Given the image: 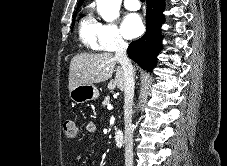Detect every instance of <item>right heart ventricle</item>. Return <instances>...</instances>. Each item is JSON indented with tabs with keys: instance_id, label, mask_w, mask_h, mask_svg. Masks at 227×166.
I'll use <instances>...</instances> for the list:
<instances>
[{
	"instance_id": "e07e8e85",
	"label": "right heart ventricle",
	"mask_w": 227,
	"mask_h": 166,
	"mask_svg": "<svg viewBox=\"0 0 227 166\" xmlns=\"http://www.w3.org/2000/svg\"><path fill=\"white\" fill-rule=\"evenodd\" d=\"M100 23L91 13H86L79 22L78 32L82 44L91 51L102 50L99 38Z\"/></svg>"
}]
</instances>
